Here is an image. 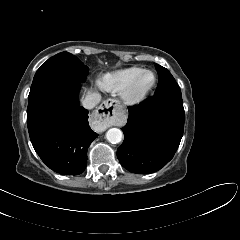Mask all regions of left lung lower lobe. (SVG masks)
<instances>
[{
  "label": "left lung lower lobe",
  "instance_id": "0a47b994",
  "mask_svg": "<svg viewBox=\"0 0 240 240\" xmlns=\"http://www.w3.org/2000/svg\"><path fill=\"white\" fill-rule=\"evenodd\" d=\"M128 111L117 157L132 173H153L173 158L180 144L184 129L181 93L154 94Z\"/></svg>",
  "mask_w": 240,
  "mask_h": 240
}]
</instances>
